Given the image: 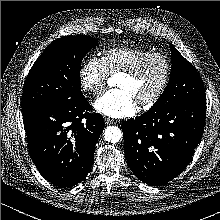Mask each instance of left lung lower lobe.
<instances>
[{"mask_svg": "<svg viewBox=\"0 0 220 220\" xmlns=\"http://www.w3.org/2000/svg\"><path fill=\"white\" fill-rule=\"evenodd\" d=\"M206 99L149 109L123 123L124 152L134 175L159 186L187 167L205 124Z\"/></svg>", "mask_w": 220, "mask_h": 220, "instance_id": "0a47b994", "label": "left lung lower lobe"}]
</instances>
